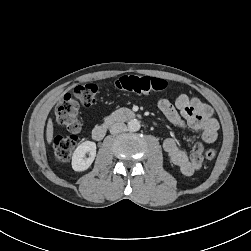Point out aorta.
Instances as JSON below:
<instances>
[{"label":"aorta","instance_id":"obj_1","mask_svg":"<svg viewBox=\"0 0 251 251\" xmlns=\"http://www.w3.org/2000/svg\"><path fill=\"white\" fill-rule=\"evenodd\" d=\"M140 122L137 119H131L128 121V130L131 132H136L140 130Z\"/></svg>","mask_w":251,"mask_h":251}]
</instances>
